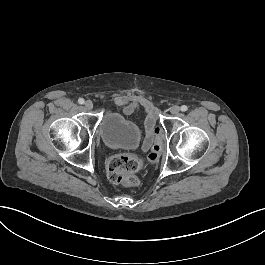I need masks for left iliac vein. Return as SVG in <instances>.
I'll return each mask as SVG.
<instances>
[{"instance_id":"obj_1","label":"left iliac vein","mask_w":265,"mask_h":265,"mask_svg":"<svg viewBox=\"0 0 265 265\" xmlns=\"http://www.w3.org/2000/svg\"><path fill=\"white\" fill-rule=\"evenodd\" d=\"M179 111H180V108L178 106H176V105L172 106L171 109H170V112L173 115H177L179 113Z\"/></svg>"}]
</instances>
